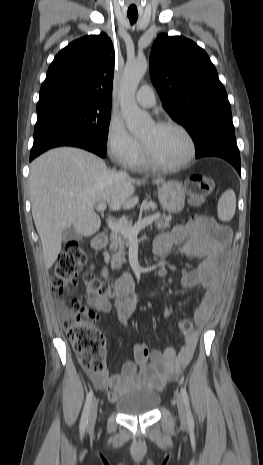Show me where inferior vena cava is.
Masks as SVG:
<instances>
[{"instance_id": "602c4592", "label": "inferior vena cava", "mask_w": 263, "mask_h": 465, "mask_svg": "<svg viewBox=\"0 0 263 465\" xmlns=\"http://www.w3.org/2000/svg\"><path fill=\"white\" fill-rule=\"evenodd\" d=\"M118 175L121 177H127V173L125 171H119Z\"/></svg>"}]
</instances>
